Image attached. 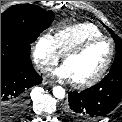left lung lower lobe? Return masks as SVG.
Segmentation results:
<instances>
[{"label": "left lung lower lobe", "instance_id": "obj_1", "mask_svg": "<svg viewBox=\"0 0 122 122\" xmlns=\"http://www.w3.org/2000/svg\"><path fill=\"white\" fill-rule=\"evenodd\" d=\"M65 112L79 120H92L110 113L122 98V67L111 69L98 84L80 93H68Z\"/></svg>", "mask_w": 122, "mask_h": 122}]
</instances>
